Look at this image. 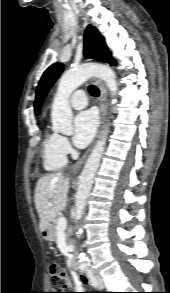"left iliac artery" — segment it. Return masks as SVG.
<instances>
[{
    "label": "left iliac artery",
    "instance_id": "1",
    "mask_svg": "<svg viewBox=\"0 0 170 293\" xmlns=\"http://www.w3.org/2000/svg\"><path fill=\"white\" fill-rule=\"evenodd\" d=\"M87 276H88L92 286L97 287V280H96V278L94 276V273H93V271L91 269L87 270Z\"/></svg>",
    "mask_w": 170,
    "mask_h": 293
}]
</instances>
